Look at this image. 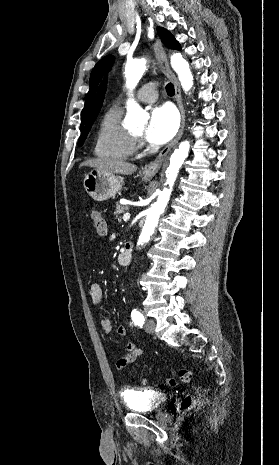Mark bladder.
I'll return each mask as SVG.
<instances>
[{
  "label": "bladder",
  "mask_w": 279,
  "mask_h": 465,
  "mask_svg": "<svg viewBox=\"0 0 279 465\" xmlns=\"http://www.w3.org/2000/svg\"><path fill=\"white\" fill-rule=\"evenodd\" d=\"M123 399L127 409L135 413L157 412L168 401V397L163 393L139 388L125 389Z\"/></svg>",
  "instance_id": "31cf9c89"
}]
</instances>
